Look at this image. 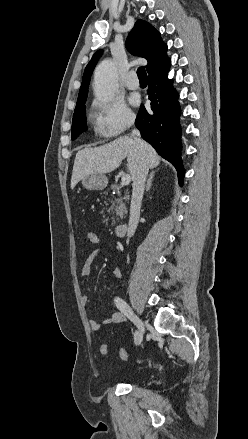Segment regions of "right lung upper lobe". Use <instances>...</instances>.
I'll list each match as a JSON object with an SVG mask.
<instances>
[{
	"label": "right lung upper lobe",
	"instance_id": "cb5924a9",
	"mask_svg": "<svg viewBox=\"0 0 248 439\" xmlns=\"http://www.w3.org/2000/svg\"><path fill=\"white\" fill-rule=\"evenodd\" d=\"M126 44L131 53L147 59L146 69L148 73L170 62L166 55L167 45L162 41L160 33L144 20H137L128 35ZM101 54L102 50L97 51L85 68L75 110L85 104L90 78Z\"/></svg>",
	"mask_w": 248,
	"mask_h": 439
}]
</instances>
